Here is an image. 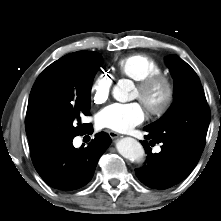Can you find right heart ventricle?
<instances>
[{
  "label": "right heart ventricle",
  "instance_id": "1",
  "mask_svg": "<svg viewBox=\"0 0 221 221\" xmlns=\"http://www.w3.org/2000/svg\"><path fill=\"white\" fill-rule=\"evenodd\" d=\"M117 69L121 75L138 82L148 75L161 72L162 65L150 55L136 53L119 60Z\"/></svg>",
  "mask_w": 221,
  "mask_h": 221
}]
</instances>
